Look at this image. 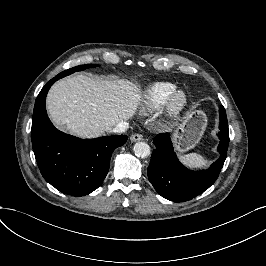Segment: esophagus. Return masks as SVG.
Instances as JSON below:
<instances>
[{
  "mask_svg": "<svg viewBox=\"0 0 266 266\" xmlns=\"http://www.w3.org/2000/svg\"><path fill=\"white\" fill-rule=\"evenodd\" d=\"M143 139H144V137H143L141 134H138V133L133 134V135H131V137H130V140L133 141V142L141 141V140H143Z\"/></svg>",
  "mask_w": 266,
  "mask_h": 266,
  "instance_id": "esophagus-1",
  "label": "esophagus"
}]
</instances>
